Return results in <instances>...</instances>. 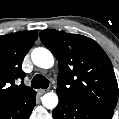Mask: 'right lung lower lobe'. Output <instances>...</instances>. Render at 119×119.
<instances>
[{
	"label": "right lung lower lobe",
	"instance_id": "98d812e1",
	"mask_svg": "<svg viewBox=\"0 0 119 119\" xmlns=\"http://www.w3.org/2000/svg\"><path fill=\"white\" fill-rule=\"evenodd\" d=\"M36 92L27 97L0 105V119H28L35 104Z\"/></svg>",
	"mask_w": 119,
	"mask_h": 119
}]
</instances>
